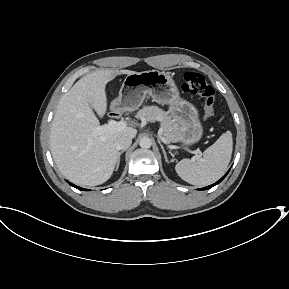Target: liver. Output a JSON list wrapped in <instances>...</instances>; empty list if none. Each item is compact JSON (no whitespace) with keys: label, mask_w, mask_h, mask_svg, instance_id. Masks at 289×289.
<instances>
[{"label":"liver","mask_w":289,"mask_h":289,"mask_svg":"<svg viewBox=\"0 0 289 289\" xmlns=\"http://www.w3.org/2000/svg\"><path fill=\"white\" fill-rule=\"evenodd\" d=\"M135 71L105 69L92 72L78 80L59 100L50 130V149L60 172L70 181L87 186L100 185L112 175L117 164V139L134 138L137 129L95 135L93 129L107 111L105 87L120 74Z\"/></svg>","instance_id":"liver-1"}]
</instances>
